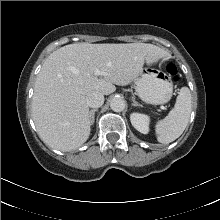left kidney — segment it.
Masks as SVG:
<instances>
[{
	"label": "left kidney",
	"instance_id": "left-kidney-1",
	"mask_svg": "<svg viewBox=\"0 0 220 220\" xmlns=\"http://www.w3.org/2000/svg\"><path fill=\"white\" fill-rule=\"evenodd\" d=\"M130 121L132 126L143 134H147L149 132V123L150 118L148 115L141 113H132L130 115Z\"/></svg>",
	"mask_w": 220,
	"mask_h": 220
}]
</instances>
